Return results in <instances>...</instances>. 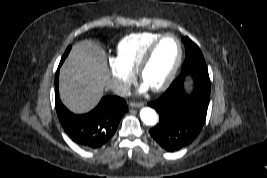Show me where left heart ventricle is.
Instances as JSON below:
<instances>
[{"mask_svg":"<svg viewBox=\"0 0 267 178\" xmlns=\"http://www.w3.org/2000/svg\"><path fill=\"white\" fill-rule=\"evenodd\" d=\"M178 44L172 37L165 38L156 48L143 72V83L149 88L160 85L169 75L178 56Z\"/></svg>","mask_w":267,"mask_h":178,"instance_id":"b2bd125f","label":"left heart ventricle"}]
</instances>
